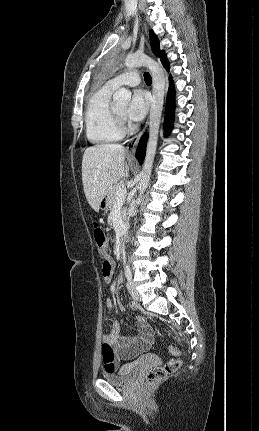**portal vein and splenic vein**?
Segmentation results:
<instances>
[{
  "label": "portal vein and splenic vein",
  "instance_id": "1",
  "mask_svg": "<svg viewBox=\"0 0 259 431\" xmlns=\"http://www.w3.org/2000/svg\"><path fill=\"white\" fill-rule=\"evenodd\" d=\"M126 195H127V190H126V188H120V189H118L117 190V192H116V197H117V199L118 200H125V198H126Z\"/></svg>",
  "mask_w": 259,
  "mask_h": 431
}]
</instances>
